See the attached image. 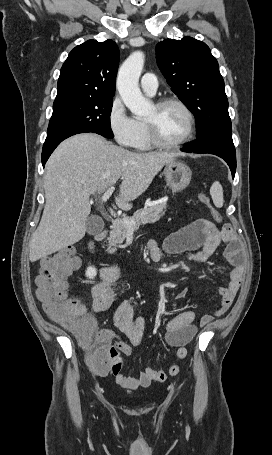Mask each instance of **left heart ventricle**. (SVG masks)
Masks as SVG:
<instances>
[{"mask_svg":"<svg viewBox=\"0 0 272 455\" xmlns=\"http://www.w3.org/2000/svg\"><path fill=\"white\" fill-rule=\"evenodd\" d=\"M146 120L154 123L160 139L166 143L181 140L188 128L185 113L175 105H168L161 109L153 106L146 116Z\"/></svg>","mask_w":272,"mask_h":455,"instance_id":"obj_1","label":"left heart ventricle"}]
</instances>
